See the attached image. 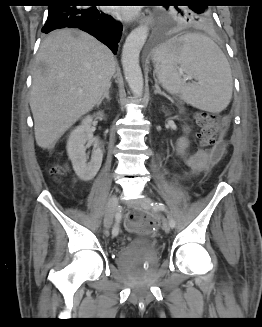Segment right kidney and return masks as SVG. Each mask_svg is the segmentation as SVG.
<instances>
[{
    "mask_svg": "<svg viewBox=\"0 0 262 327\" xmlns=\"http://www.w3.org/2000/svg\"><path fill=\"white\" fill-rule=\"evenodd\" d=\"M103 116V112L97 113V117ZM92 121V116L85 117L81 125L71 132L67 141V153L72 162L73 169L77 176L84 181H89L95 177L101 167L103 158L102 150L95 146L91 160L87 162L86 143L88 145H96V140L91 130Z\"/></svg>",
    "mask_w": 262,
    "mask_h": 327,
    "instance_id": "right-kidney-1",
    "label": "right kidney"
}]
</instances>
